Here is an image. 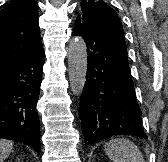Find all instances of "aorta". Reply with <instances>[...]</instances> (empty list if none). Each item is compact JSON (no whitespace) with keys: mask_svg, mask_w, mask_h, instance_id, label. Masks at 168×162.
<instances>
[{"mask_svg":"<svg viewBox=\"0 0 168 162\" xmlns=\"http://www.w3.org/2000/svg\"><path fill=\"white\" fill-rule=\"evenodd\" d=\"M68 72L70 87L74 95H81L87 72V47L80 36L70 40L68 48Z\"/></svg>","mask_w":168,"mask_h":162,"instance_id":"aorta-1","label":"aorta"}]
</instances>
